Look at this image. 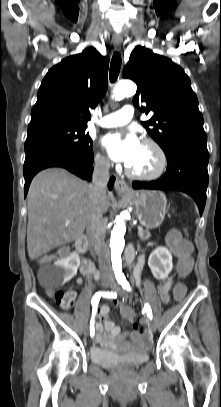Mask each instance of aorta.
<instances>
[{
	"label": "aorta",
	"instance_id": "762f6f07",
	"mask_svg": "<svg viewBox=\"0 0 221 407\" xmlns=\"http://www.w3.org/2000/svg\"><path fill=\"white\" fill-rule=\"evenodd\" d=\"M136 85L129 80L120 81L113 90V98L121 100L126 96H132L136 93ZM129 213L124 211L116 219V224L111 232L110 248H111V261L115 277L118 281L124 279L122 272V259L121 254L124 249L125 240L124 235L126 232L125 218Z\"/></svg>",
	"mask_w": 221,
	"mask_h": 407
}]
</instances>
